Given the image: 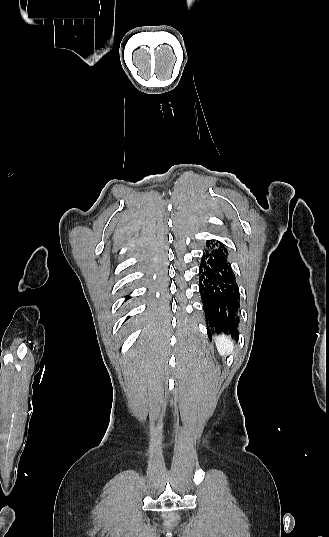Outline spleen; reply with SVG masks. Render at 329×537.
I'll list each match as a JSON object with an SVG mask.
<instances>
[{"label":"spleen","mask_w":329,"mask_h":537,"mask_svg":"<svg viewBox=\"0 0 329 537\" xmlns=\"http://www.w3.org/2000/svg\"><path fill=\"white\" fill-rule=\"evenodd\" d=\"M217 349L221 355L232 353L234 349L233 341L224 335L218 336L215 339Z\"/></svg>","instance_id":"spleen-1"}]
</instances>
